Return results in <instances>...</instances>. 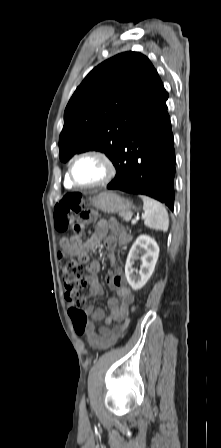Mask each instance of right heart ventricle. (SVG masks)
<instances>
[{"label": "right heart ventricle", "instance_id": "1", "mask_svg": "<svg viewBox=\"0 0 221 448\" xmlns=\"http://www.w3.org/2000/svg\"><path fill=\"white\" fill-rule=\"evenodd\" d=\"M64 185L66 188L71 189L74 187V185H72L68 179V174L66 173L65 175V179H64Z\"/></svg>", "mask_w": 221, "mask_h": 448}]
</instances>
